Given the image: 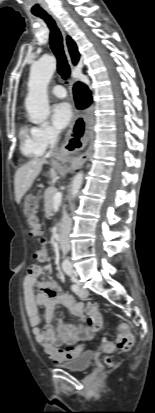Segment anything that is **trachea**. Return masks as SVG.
<instances>
[{
	"mask_svg": "<svg viewBox=\"0 0 155 413\" xmlns=\"http://www.w3.org/2000/svg\"><path fill=\"white\" fill-rule=\"evenodd\" d=\"M34 15L42 18L47 23L50 29V46L57 58L58 73L64 80H68L70 76V68L64 55L62 36L55 21L47 13H36Z\"/></svg>",
	"mask_w": 155,
	"mask_h": 413,
	"instance_id": "trachea-1",
	"label": "trachea"
}]
</instances>
